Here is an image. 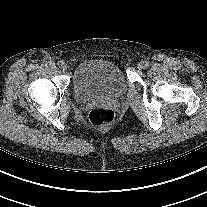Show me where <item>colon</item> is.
<instances>
[{"mask_svg": "<svg viewBox=\"0 0 207 207\" xmlns=\"http://www.w3.org/2000/svg\"><path fill=\"white\" fill-rule=\"evenodd\" d=\"M115 118L113 109L109 107H97L90 111L88 115L89 121L98 127H106L110 125Z\"/></svg>", "mask_w": 207, "mask_h": 207, "instance_id": "colon-1", "label": "colon"}]
</instances>
